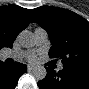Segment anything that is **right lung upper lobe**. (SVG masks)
<instances>
[{"mask_svg": "<svg viewBox=\"0 0 89 89\" xmlns=\"http://www.w3.org/2000/svg\"><path fill=\"white\" fill-rule=\"evenodd\" d=\"M34 22L31 9L17 5L0 7V48L12 47L17 35Z\"/></svg>", "mask_w": 89, "mask_h": 89, "instance_id": "obj_1", "label": "right lung upper lobe"}]
</instances>
